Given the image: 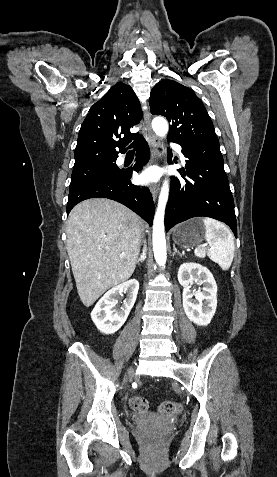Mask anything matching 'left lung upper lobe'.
<instances>
[{
    "instance_id": "1",
    "label": "left lung upper lobe",
    "mask_w": 277,
    "mask_h": 477,
    "mask_svg": "<svg viewBox=\"0 0 277 477\" xmlns=\"http://www.w3.org/2000/svg\"><path fill=\"white\" fill-rule=\"evenodd\" d=\"M151 113L170 122L169 139L179 143H219L213 123L194 91L173 80L160 81L151 91Z\"/></svg>"
}]
</instances>
